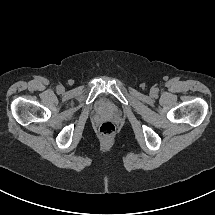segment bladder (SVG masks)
<instances>
[{
  "mask_svg": "<svg viewBox=\"0 0 215 215\" xmlns=\"http://www.w3.org/2000/svg\"><path fill=\"white\" fill-rule=\"evenodd\" d=\"M97 107L100 112H112L113 111L112 104L107 100L99 101Z\"/></svg>",
  "mask_w": 215,
  "mask_h": 215,
  "instance_id": "bladder-1",
  "label": "bladder"
}]
</instances>
